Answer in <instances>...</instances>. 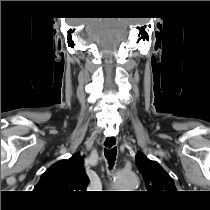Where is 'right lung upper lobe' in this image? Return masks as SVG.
I'll return each instance as SVG.
<instances>
[{"label": "right lung upper lobe", "mask_w": 210, "mask_h": 210, "mask_svg": "<svg viewBox=\"0 0 210 210\" xmlns=\"http://www.w3.org/2000/svg\"><path fill=\"white\" fill-rule=\"evenodd\" d=\"M89 178L78 154L60 160L49 167L35 186L34 191L55 202L63 203L77 198L86 190Z\"/></svg>", "instance_id": "cb5924a9"}]
</instances>
